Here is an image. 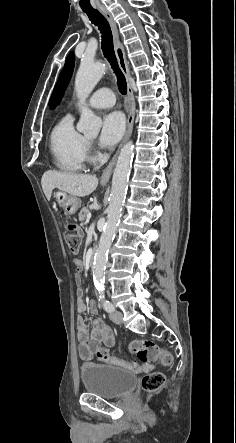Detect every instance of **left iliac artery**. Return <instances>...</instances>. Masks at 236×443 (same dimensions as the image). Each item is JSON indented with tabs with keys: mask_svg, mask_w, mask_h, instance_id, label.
<instances>
[{
	"mask_svg": "<svg viewBox=\"0 0 236 443\" xmlns=\"http://www.w3.org/2000/svg\"><path fill=\"white\" fill-rule=\"evenodd\" d=\"M97 290L99 291V299L102 303L103 308L105 309V311L107 312H113L114 311V306L112 305V303L108 300L105 299V294H104V286H97Z\"/></svg>",
	"mask_w": 236,
	"mask_h": 443,
	"instance_id": "obj_1",
	"label": "left iliac artery"
}]
</instances>
